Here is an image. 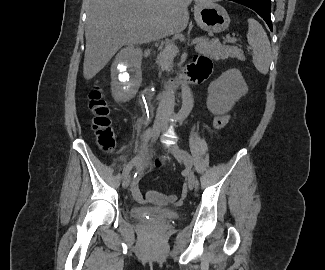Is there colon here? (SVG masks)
Returning <instances> with one entry per match:
<instances>
[{
	"label": "colon",
	"instance_id": "obj_1",
	"mask_svg": "<svg viewBox=\"0 0 325 270\" xmlns=\"http://www.w3.org/2000/svg\"><path fill=\"white\" fill-rule=\"evenodd\" d=\"M89 109L92 114V128L96 132L98 143L103 151L110 152L115 146V134L111 128L109 108L98 87L89 94ZM149 202L166 205L176 200L174 195H166L150 190L146 193Z\"/></svg>",
	"mask_w": 325,
	"mask_h": 270
}]
</instances>
